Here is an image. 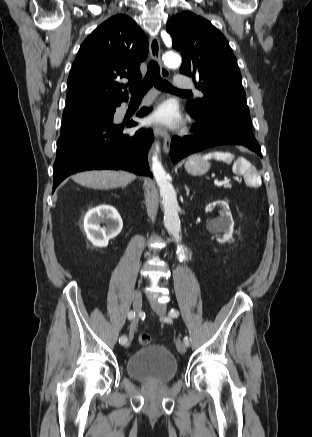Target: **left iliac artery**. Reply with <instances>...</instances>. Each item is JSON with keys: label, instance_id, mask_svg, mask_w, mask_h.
<instances>
[{"label": "left iliac artery", "instance_id": "44dca946", "mask_svg": "<svg viewBox=\"0 0 312 437\" xmlns=\"http://www.w3.org/2000/svg\"><path fill=\"white\" fill-rule=\"evenodd\" d=\"M178 315H179V312L176 309H171V311L169 312L170 317L177 318ZM184 343L186 346L189 345V338L187 336L184 337Z\"/></svg>", "mask_w": 312, "mask_h": 437}]
</instances>
